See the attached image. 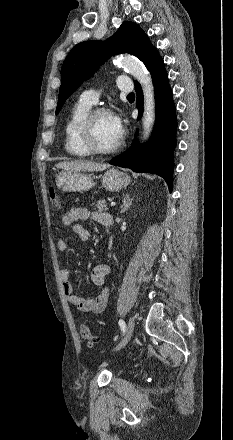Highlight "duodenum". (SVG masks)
<instances>
[{
  "label": "duodenum",
  "instance_id": "duodenum-1",
  "mask_svg": "<svg viewBox=\"0 0 233 440\" xmlns=\"http://www.w3.org/2000/svg\"><path fill=\"white\" fill-rule=\"evenodd\" d=\"M102 225L108 230L112 227L113 225V219L112 216H108L106 217L103 221H102Z\"/></svg>",
  "mask_w": 233,
  "mask_h": 440
}]
</instances>
